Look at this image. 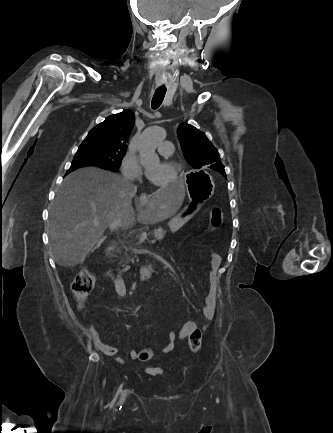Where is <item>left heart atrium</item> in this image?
I'll use <instances>...</instances> for the list:
<instances>
[{
	"instance_id": "39dd6f15",
	"label": "left heart atrium",
	"mask_w": 333,
	"mask_h": 433,
	"mask_svg": "<svg viewBox=\"0 0 333 433\" xmlns=\"http://www.w3.org/2000/svg\"><path fill=\"white\" fill-rule=\"evenodd\" d=\"M146 173H147V176L151 180L155 181L156 176H157V169H155V168H148L147 171H146Z\"/></svg>"
}]
</instances>
